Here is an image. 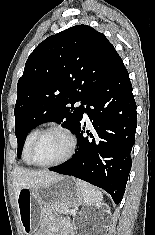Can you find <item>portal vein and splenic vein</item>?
<instances>
[{
  "mask_svg": "<svg viewBox=\"0 0 155 235\" xmlns=\"http://www.w3.org/2000/svg\"><path fill=\"white\" fill-rule=\"evenodd\" d=\"M70 212H71V214H76V210L75 209H72Z\"/></svg>",
  "mask_w": 155,
  "mask_h": 235,
  "instance_id": "portal-vein-and-splenic-vein-1",
  "label": "portal vein and splenic vein"
}]
</instances>
